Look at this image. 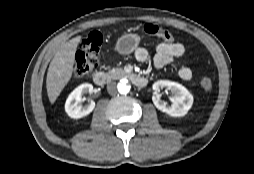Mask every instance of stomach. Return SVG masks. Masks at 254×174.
I'll list each match as a JSON object with an SVG mask.
<instances>
[{
	"instance_id": "stomach-1",
	"label": "stomach",
	"mask_w": 254,
	"mask_h": 174,
	"mask_svg": "<svg viewBox=\"0 0 254 174\" xmlns=\"http://www.w3.org/2000/svg\"><path fill=\"white\" fill-rule=\"evenodd\" d=\"M140 36L138 34L126 33L118 38L115 50L121 55L131 54L140 43Z\"/></svg>"
}]
</instances>
